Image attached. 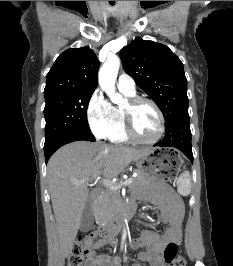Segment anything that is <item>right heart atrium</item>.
I'll use <instances>...</instances> for the list:
<instances>
[{
    "label": "right heart atrium",
    "mask_w": 233,
    "mask_h": 266,
    "mask_svg": "<svg viewBox=\"0 0 233 266\" xmlns=\"http://www.w3.org/2000/svg\"><path fill=\"white\" fill-rule=\"evenodd\" d=\"M86 117L90 130L98 138H110L118 129L113 106L99 89L89 99Z\"/></svg>",
    "instance_id": "1"
}]
</instances>
